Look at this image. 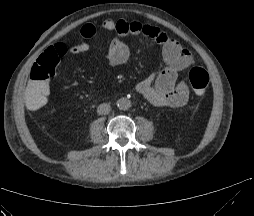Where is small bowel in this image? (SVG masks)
<instances>
[{"instance_id": "small-bowel-1", "label": "small bowel", "mask_w": 254, "mask_h": 216, "mask_svg": "<svg viewBox=\"0 0 254 216\" xmlns=\"http://www.w3.org/2000/svg\"><path fill=\"white\" fill-rule=\"evenodd\" d=\"M103 28L108 32L116 33V36L111 39L108 49V61L112 66L123 65L129 59L130 49L123 39L127 35L146 36L161 45L166 66L159 75L150 73L138 83L136 90L141 96L159 107H182L188 102L189 89L185 81L179 78V72L193 62L192 54L187 48L160 28L137 20H106L103 23ZM80 34L86 39L93 38L97 34V27L92 23H86L81 27ZM59 45L64 47L62 58L86 53L92 48L89 43L82 42L71 47L64 43H58L51 49L55 51ZM50 92L51 89L48 93V100Z\"/></svg>"}]
</instances>
